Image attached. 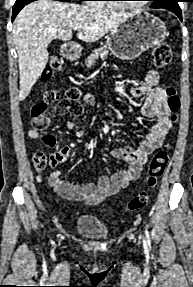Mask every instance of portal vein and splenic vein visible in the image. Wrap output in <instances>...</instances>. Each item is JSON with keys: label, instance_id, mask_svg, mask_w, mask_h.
Segmentation results:
<instances>
[{"label": "portal vein and splenic vein", "instance_id": "1", "mask_svg": "<svg viewBox=\"0 0 193 287\" xmlns=\"http://www.w3.org/2000/svg\"><path fill=\"white\" fill-rule=\"evenodd\" d=\"M81 29H82L81 26H75V27H74V30H75V31H79V30H81Z\"/></svg>", "mask_w": 193, "mask_h": 287}]
</instances>
